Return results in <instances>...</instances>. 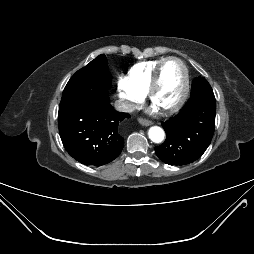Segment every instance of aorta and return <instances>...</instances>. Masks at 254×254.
Returning a JSON list of instances; mask_svg holds the SVG:
<instances>
[{
    "mask_svg": "<svg viewBox=\"0 0 254 254\" xmlns=\"http://www.w3.org/2000/svg\"><path fill=\"white\" fill-rule=\"evenodd\" d=\"M164 131L162 128L158 126H153L149 129V138L155 142V143H160L164 139Z\"/></svg>",
    "mask_w": 254,
    "mask_h": 254,
    "instance_id": "obj_1",
    "label": "aorta"
}]
</instances>
